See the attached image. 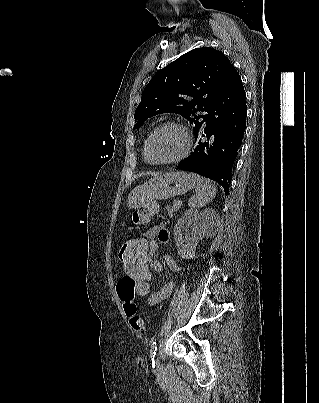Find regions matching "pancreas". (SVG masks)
Wrapping results in <instances>:
<instances>
[{"mask_svg":"<svg viewBox=\"0 0 319 403\" xmlns=\"http://www.w3.org/2000/svg\"><path fill=\"white\" fill-rule=\"evenodd\" d=\"M180 206L181 205H177L175 201L173 202L172 205H168L166 207L167 212H168V216L172 217L174 215V213L179 210Z\"/></svg>","mask_w":319,"mask_h":403,"instance_id":"obj_1","label":"pancreas"}]
</instances>
